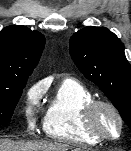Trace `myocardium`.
Here are the masks:
<instances>
[{
	"label": "myocardium",
	"mask_w": 131,
	"mask_h": 151,
	"mask_svg": "<svg viewBox=\"0 0 131 151\" xmlns=\"http://www.w3.org/2000/svg\"><path fill=\"white\" fill-rule=\"evenodd\" d=\"M101 109H107L116 117L119 130L115 136L106 135L100 130L97 124V116ZM83 124L85 129L93 136L101 141H116L124 131V119L119 109L111 102L101 99H93L84 108L83 111Z\"/></svg>",
	"instance_id": "f54148a6"
}]
</instances>
